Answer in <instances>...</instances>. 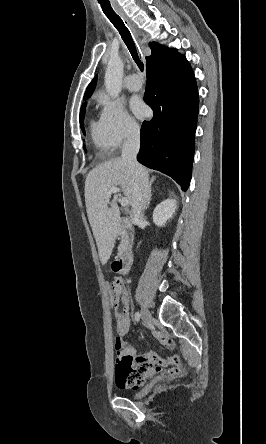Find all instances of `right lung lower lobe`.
<instances>
[{"label":"right lung lower lobe","mask_w":266,"mask_h":444,"mask_svg":"<svg viewBox=\"0 0 266 444\" xmlns=\"http://www.w3.org/2000/svg\"><path fill=\"white\" fill-rule=\"evenodd\" d=\"M144 99L154 116L142 123L137 160L171 176L186 191L199 99L194 73L184 55L147 68Z\"/></svg>","instance_id":"right-lung-lower-lobe-1"}]
</instances>
